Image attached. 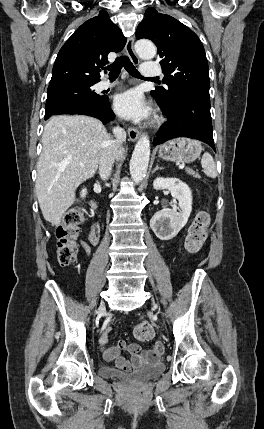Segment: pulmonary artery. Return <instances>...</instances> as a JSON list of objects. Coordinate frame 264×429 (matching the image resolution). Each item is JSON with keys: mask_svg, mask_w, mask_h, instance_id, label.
Masks as SVG:
<instances>
[{"mask_svg": "<svg viewBox=\"0 0 264 429\" xmlns=\"http://www.w3.org/2000/svg\"><path fill=\"white\" fill-rule=\"evenodd\" d=\"M142 75L145 78H156L162 75L160 67L154 62H145L141 67ZM115 84L109 83L108 81H101L98 84L100 90H106L113 87Z\"/></svg>", "mask_w": 264, "mask_h": 429, "instance_id": "obj_1", "label": "pulmonary artery"}]
</instances>
